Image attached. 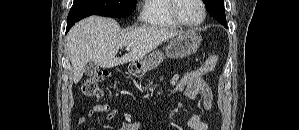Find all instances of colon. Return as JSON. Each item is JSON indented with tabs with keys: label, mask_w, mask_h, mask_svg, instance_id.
Wrapping results in <instances>:
<instances>
[{
	"label": "colon",
	"mask_w": 299,
	"mask_h": 130,
	"mask_svg": "<svg viewBox=\"0 0 299 130\" xmlns=\"http://www.w3.org/2000/svg\"><path fill=\"white\" fill-rule=\"evenodd\" d=\"M219 61L216 53L210 55L198 68L186 71L179 75L171 89V95H177L185 91L187 87L203 80V77L213 71ZM110 73L107 71L99 72L87 78L81 87L82 93L87 97L99 98L102 96L101 84L108 79Z\"/></svg>",
	"instance_id": "colon-1"
}]
</instances>
